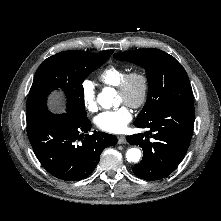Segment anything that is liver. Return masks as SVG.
<instances>
[{
  "mask_svg": "<svg viewBox=\"0 0 221 221\" xmlns=\"http://www.w3.org/2000/svg\"><path fill=\"white\" fill-rule=\"evenodd\" d=\"M51 110L55 111V107H52Z\"/></svg>",
  "mask_w": 221,
  "mask_h": 221,
  "instance_id": "1",
  "label": "liver"
}]
</instances>
